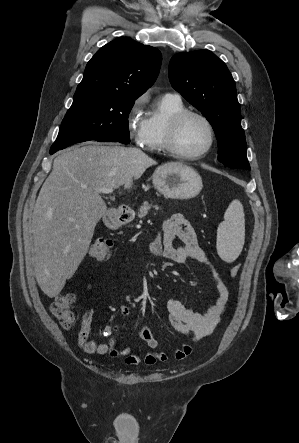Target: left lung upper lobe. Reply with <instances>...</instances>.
Segmentation results:
<instances>
[{"label":"left lung upper lobe","mask_w":299,"mask_h":443,"mask_svg":"<svg viewBox=\"0 0 299 443\" xmlns=\"http://www.w3.org/2000/svg\"><path fill=\"white\" fill-rule=\"evenodd\" d=\"M169 80L212 125L218 160L230 168L250 169L235 82L225 63L208 50L178 53L170 60Z\"/></svg>","instance_id":"5c2ea615"}]
</instances>
